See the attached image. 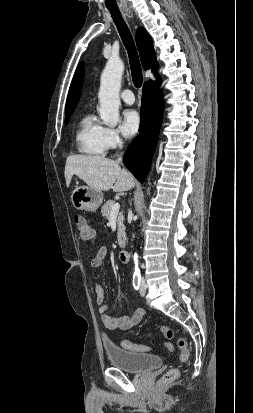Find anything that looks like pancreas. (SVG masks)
Segmentation results:
<instances>
[{
	"label": "pancreas",
	"instance_id": "cf45deb5",
	"mask_svg": "<svg viewBox=\"0 0 253 413\" xmlns=\"http://www.w3.org/2000/svg\"><path fill=\"white\" fill-rule=\"evenodd\" d=\"M115 204V201L109 200L106 202L101 209V213L103 217H106V219H110L111 216V208ZM117 226H118V231H117V238H118V243L119 245H122V238L125 235V226H124V216L120 212L117 214Z\"/></svg>",
	"mask_w": 253,
	"mask_h": 413
}]
</instances>
